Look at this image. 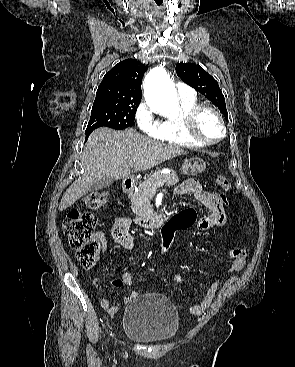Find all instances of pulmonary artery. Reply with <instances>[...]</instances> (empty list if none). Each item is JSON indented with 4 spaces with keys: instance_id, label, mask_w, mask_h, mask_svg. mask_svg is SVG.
<instances>
[{
    "instance_id": "1",
    "label": "pulmonary artery",
    "mask_w": 295,
    "mask_h": 367,
    "mask_svg": "<svg viewBox=\"0 0 295 367\" xmlns=\"http://www.w3.org/2000/svg\"><path fill=\"white\" fill-rule=\"evenodd\" d=\"M177 91L180 99L191 100L195 99L196 93L193 88L183 83L177 84Z\"/></svg>"
}]
</instances>
